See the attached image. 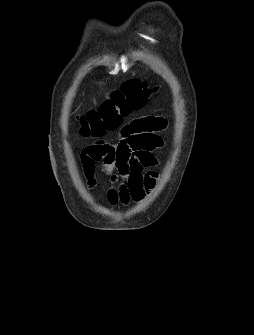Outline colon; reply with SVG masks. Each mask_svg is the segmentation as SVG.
Instances as JSON below:
<instances>
[{
    "mask_svg": "<svg viewBox=\"0 0 254 335\" xmlns=\"http://www.w3.org/2000/svg\"><path fill=\"white\" fill-rule=\"evenodd\" d=\"M150 92L151 89L145 81L125 82L123 87L114 91L97 110H92L81 117V134L97 138L117 130L124 117L143 108Z\"/></svg>",
    "mask_w": 254,
    "mask_h": 335,
    "instance_id": "5ec220e1",
    "label": "colon"
}]
</instances>
